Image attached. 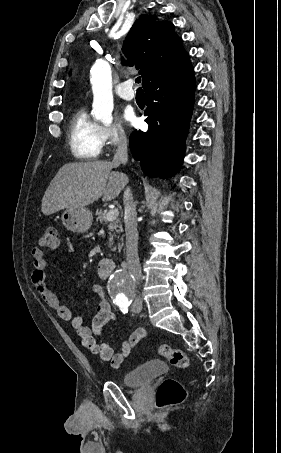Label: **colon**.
<instances>
[{"label": "colon", "instance_id": "colon-1", "mask_svg": "<svg viewBox=\"0 0 281 453\" xmlns=\"http://www.w3.org/2000/svg\"><path fill=\"white\" fill-rule=\"evenodd\" d=\"M60 231L59 226H46L44 232L39 238L38 245L42 250L54 249L56 240ZM160 354L171 365L180 369L189 371L191 365L186 352L171 347H162ZM187 399V392L177 377L174 375L167 376L157 387L155 394V406L158 410L164 411Z\"/></svg>", "mask_w": 281, "mask_h": 453}]
</instances>
